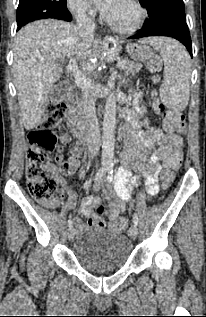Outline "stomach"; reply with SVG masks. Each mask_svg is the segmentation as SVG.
I'll return each instance as SVG.
<instances>
[{"label": "stomach", "mask_w": 206, "mask_h": 317, "mask_svg": "<svg viewBox=\"0 0 206 317\" xmlns=\"http://www.w3.org/2000/svg\"><path fill=\"white\" fill-rule=\"evenodd\" d=\"M128 53L131 55L134 61H147L153 57L152 50L144 45L129 44L126 46ZM138 62V61H137Z\"/></svg>", "instance_id": "obj_1"}]
</instances>
